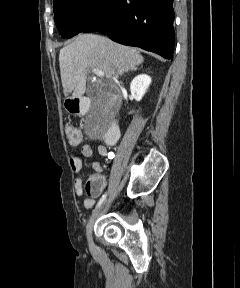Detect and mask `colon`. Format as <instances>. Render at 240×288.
<instances>
[{"label": "colon", "instance_id": "obj_1", "mask_svg": "<svg viewBox=\"0 0 240 288\" xmlns=\"http://www.w3.org/2000/svg\"><path fill=\"white\" fill-rule=\"evenodd\" d=\"M64 132L71 147H76L81 143L82 136L77 128H75L72 124L66 123L64 126ZM84 189L88 196L94 195L99 190V183L91 177L87 180Z\"/></svg>", "mask_w": 240, "mask_h": 288}]
</instances>
